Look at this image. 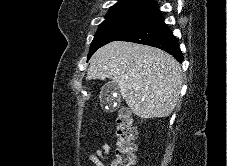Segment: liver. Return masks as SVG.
<instances>
[{"instance_id": "6515ba94", "label": "liver", "mask_w": 227, "mask_h": 166, "mask_svg": "<svg viewBox=\"0 0 227 166\" xmlns=\"http://www.w3.org/2000/svg\"><path fill=\"white\" fill-rule=\"evenodd\" d=\"M117 82L122 98L142 119L169 116L182 87L180 64L160 49L129 42H111L90 59L87 80Z\"/></svg>"}]
</instances>
